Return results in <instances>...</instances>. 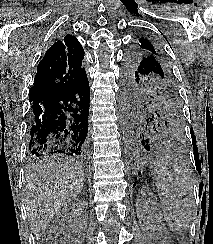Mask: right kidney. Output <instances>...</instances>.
<instances>
[{"label": "right kidney", "mask_w": 213, "mask_h": 244, "mask_svg": "<svg viewBox=\"0 0 213 244\" xmlns=\"http://www.w3.org/2000/svg\"><path fill=\"white\" fill-rule=\"evenodd\" d=\"M86 207V202L83 200L75 199L73 202H71L69 205H67L63 210L62 214L64 216L66 215H81L82 219L79 221L81 225H86V218L87 214L84 212V209Z\"/></svg>", "instance_id": "right-kidney-1"}]
</instances>
